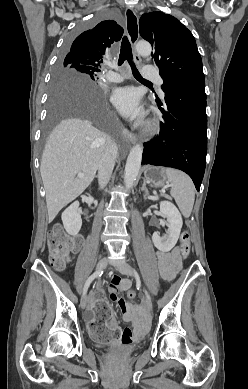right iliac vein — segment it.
<instances>
[{"mask_svg":"<svg viewBox=\"0 0 248 389\" xmlns=\"http://www.w3.org/2000/svg\"><path fill=\"white\" fill-rule=\"evenodd\" d=\"M107 264H108V258L103 257L102 259L99 260L97 267H96V271H100V270L104 269L107 266ZM80 305L83 309H85V307L87 305V295L86 294L82 295Z\"/></svg>","mask_w":248,"mask_h":389,"instance_id":"63e3f726","label":"right iliac vein"}]
</instances>
